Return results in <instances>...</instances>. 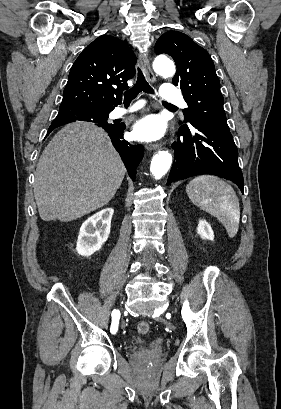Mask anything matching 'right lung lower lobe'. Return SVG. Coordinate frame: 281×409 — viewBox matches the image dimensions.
<instances>
[{
    "label": "right lung lower lobe",
    "instance_id": "right-lung-lower-lobe-1",
    "mask_svg": "<svg viewBox=\"0 0 281 409\" xmlns=\"http://www.w3.org/2000/svg\"><path fill=\"white\" fill-rule=\"evenodd\" d=\"M111 111H104L99 109H60L58 117L66 118H89L96 120V124L102 127L112 140V144L119 152L128 174L132 180L136 176V168L143 158L144 151L141 145H131L123 140V131L125 129L124 123H107L108 113ZM107 115V117H105ZM52 130H49L50 133Z\"/></svg>",
    "mask_w": 281,
    "mask_h": 409
}]
</instances>
